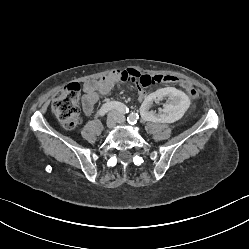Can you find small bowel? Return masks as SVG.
<instances>
[{"instance_id": "obj_1", "label": "small bowel", "mask_w": 249, "mask_h": 249, "mask_svg": "<svg viewBox=\"0 0 249 249\" xmlns=\"http://www.w3.org/2000/svg\"><path fill=\"white\" fill-rule=\"evenodd\" d=\"M141 77L142 72L140 70H114L98 80L86 81L83 86L84 95L81 101L84 113L91 115L99 100L107 95L113 86L120 81H127L133 87H138V90H140L138 93L139 98L141 94L145 93L144 89H141L142 85H140L139 80Z\"/></svg>"}]
</instances>
